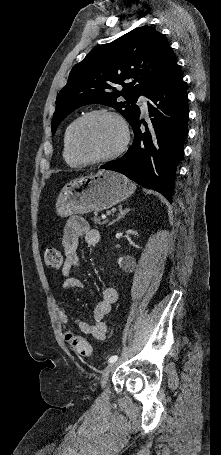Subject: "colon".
<instances>
[{"mask_svg":"<svg viewBox=\"0 0 221 455\" xmlns=\"http://www.w3.org/2000/svg\"><path fill=\"white\" fill-rule=\"evenodd\" d=\"M43 260L46 266L53 269H60L63 266V257L61 252L55 247H46L43 251ZM65 340L71 348L82 357H89L92 353L90 343L79 335L70 330L65 331Z\"/></svg>","mask_w":221,"mask_h":455,"instance_id":"colon-1","label":"colon"}]
</instances>
